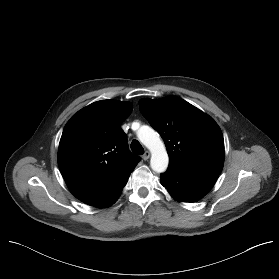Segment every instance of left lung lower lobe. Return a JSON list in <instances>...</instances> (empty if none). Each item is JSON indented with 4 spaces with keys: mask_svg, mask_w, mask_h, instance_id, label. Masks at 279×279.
Masks as SVG:
<instances>
[{
    "mask_svg": "<svg viewBox=\"0 0 279 279\" xmlns=\"http://www.w3.org/2000/svg\"><path fill=\"white\" fill-rule=\"evenodd\" d=\"M218 177L197 175L172 167L160 175L161 184L173 198L182 202H195L213 187Z\"/></svg>",
    "mask_w": 279,
    "mask_h": 279,
    "instance_id": "left-lung-lower-lobe-1",
    "label": "left lung lower lobe"
}]
</instances>
